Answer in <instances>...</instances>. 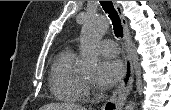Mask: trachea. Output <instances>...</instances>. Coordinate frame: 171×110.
Returning a JSON list of instances; mask_svg holds the SVG:
<instances>
[{
	"instance_id": "3493384b",
	"label": "trachea",
	"mask_w": 171,
	"mask_h": 110,
	"mask_svg": "<svg viewBox=\"0 0 171 110\" xmlns=\"http://www.w3.org/2000/svg\"><path fill=\"white\" fill-rule=\"evenodd\" d=\"M100 4L112 21L115 36L123 37V27L121 24V20L116 9L113 6L112 1H100Z\"/></svg>"
}]
</instances>
